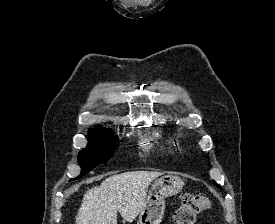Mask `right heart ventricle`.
<instances>
[{
	"mask_svg": "<svg viewBox=\"0 0 275 224\" xmlns=\"http://www.w3.org/2000/svg\"><path fill=\"white\" fill-rule=\"evenodd\" d=\"M146 140H150V141H155V143H158L159 142V140L157 139V137H156V135H152V136H150V137H148Z\"/></svg>",
	"mask_w": 275,
	"mask_h": 224,
	"instance_id": "e07e8e85",
	"label": "right heart ventricle"
}]
</instances>
